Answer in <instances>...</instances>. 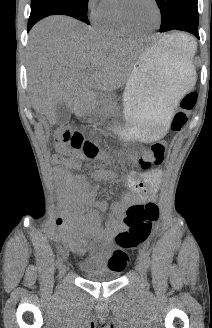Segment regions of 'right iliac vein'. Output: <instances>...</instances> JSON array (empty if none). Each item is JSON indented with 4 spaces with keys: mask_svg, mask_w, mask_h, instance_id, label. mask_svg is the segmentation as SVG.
Here are the masks:
<instances>
[{
    "mask_svg": "<svg viewBox=\"0 0 212 328\" xmlns=\"http://www.w3.org/2000/svg\"><path fill=\"white\" fill-rule=\"evenodd\" d=\"M65 272H66V266L64 264H62L61 267L59 268L60 278H62L64 276Z\"/></svg>",
    "mask_w": 212,
    "mask_h": 328,
    "instance_id": "1",
    "label": "right iliac vein"
}]
</instances>
